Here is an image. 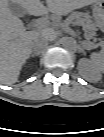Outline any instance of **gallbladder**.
Masks as SVG:
<instances>
[{"label":"gallbladder","mask_w":104,"mask_h":137,"mask_svg":"<svg viewBox=\"0 0 104 137\" xmlns=\"http://www.w3.org/2000/svg\"><path fill=\"white\" fill-rule=\"evenodd\" d=\"M9 9L17 17H23L26 15V10L18 4L10 3Z\"/></svg>","instance_id":"obj_1"}]
</instances>
